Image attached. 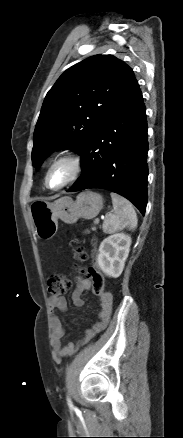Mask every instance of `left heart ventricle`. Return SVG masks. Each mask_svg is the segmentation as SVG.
I'll return each mask as SVG.
<instances>
[{"instance_id":"b2bd125f","label":"left heart ventricle","mask_w":183,"mask_h":438,"mask_svg":"<svg viewBox=\"0 0 183 438\" xmlns=\"http://www.w3.org/2000/svg\"><path fill=\"white\" fill-rule=\"evenodd\" d=\"M71 175V168L67 163H59L51 168L48 174V185L58 187L63 184Z\"/></svg>"}]
</instances>
